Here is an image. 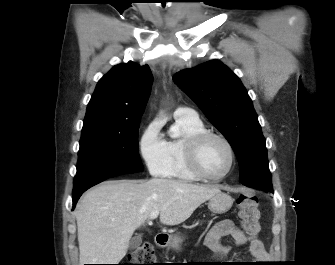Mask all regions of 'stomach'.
<instances>
[{"instance_id": "obj_1", "label": "stomach", "mask_w": 335, "mask_h": 265, "mask_svg": "<svg viewBox=\"0 0 335 265\" xmlns=\"http://www.w3.org/2000/svg\"><path fill=\"white\" fill-rule=\"evenodd\" d=\"M232 204L233 199L229 194L219 192L209 199L208 208L215 214H222L227 212Z\"/></svg>"}]
</instances>
